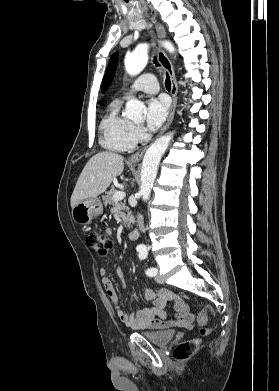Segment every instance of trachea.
<instances>
[{
	"instance_id": "3493384b",
	"label": "trachea",
	"mask_w": 279,
	"mask_h": 391,
	"mask_svg": "<svg viewBox=\"0 0 279 391\" xmlns=\"http://www.w3.org/2000/svg\"><path fill=\"white\" fill-rule=\"evenodd\" d=\"M154 63L156 66H159V63H158L156 57H154ZM165 86H166L167 90L171 89V82H170V77L168 74H166Z\"/></svg>"
}]
</instances>
